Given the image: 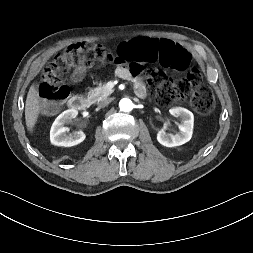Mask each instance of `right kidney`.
Segmentation results:
<instances>
[{
  "instance_id": "ca27d5eb",
  "label": "right kidney",
  "mask_w": 253,
  "mask_h": 253,
  "mask_svg": "<svg viewBox=\"0 0 253 253\" xmlns=\"http://www.w3.org/2000/svg\"><path fill=\"white\" fill-rule=\"evenodd\" d=\"M78 114L75 109L62 112L54 121L50 130V141L53 145L71 147L85 140L86 135L82 131L67 134V127L64 124L74 119Z\"/></svg>"
}]
</instances>
